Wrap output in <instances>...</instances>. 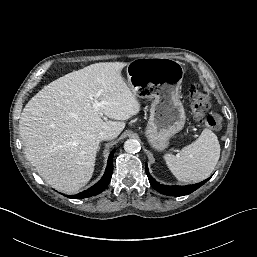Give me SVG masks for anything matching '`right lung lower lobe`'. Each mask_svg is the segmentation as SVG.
<instances>
[{
  "label": "right lung lower lobe",
  "instance_id": "98d812e1",
  "mask_svg": "<svg viewBox=\"0 0 257 257\" xmlns=\"http://www.w3.org/2000/svg\"><path fill=\"white\" fill-rule=\"evenodd\" d=\"M116 151V149H114L108 158V164H107V168L105 170V173L103 175V177L101 178V180L99 182H97L95 185H93L92 187H90L89 189L78 193L75 196L69 197V198H73V199H82V198H86V197H91V196H95L99 193H101L102 191H104L106 189V187L108 186L111 177H112V172H113V155L114 152Z\"/></svg>",
  "mask_w": 257,
  "mask_h": 257
}]
</instances>
